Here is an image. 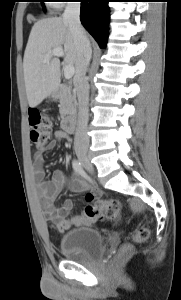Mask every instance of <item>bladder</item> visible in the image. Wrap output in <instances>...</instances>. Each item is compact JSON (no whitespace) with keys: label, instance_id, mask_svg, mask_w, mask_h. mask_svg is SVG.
Returning a JSON list of instances; mask_svg holds the SVG:
<instances>
[{"label":"bladder","instance_id":"31cf9c89","mask_svg":"<svg viewBox=\"0 0 181 300\" xmlns=\"http://www.w3.org/2000/svg\"><path fill=\"white\" fill-rule=\"evenodd\" d=\"M60 248L62 254L69 258L89 259L102 254L104 239L95 228H73L61 236Z\"/></svg>","mask_w":181,"mask_h":300}]
</instances>
